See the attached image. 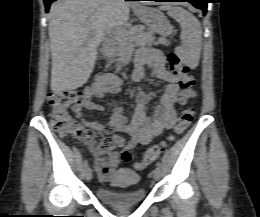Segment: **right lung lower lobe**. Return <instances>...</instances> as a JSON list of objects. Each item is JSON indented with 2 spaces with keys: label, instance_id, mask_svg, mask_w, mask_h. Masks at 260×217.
Instances as JSON below:
<instances>
[{
  "label": "right lung lower lobe",
  "instance_id": "right-lung-lower-lobe-1",
  "mask_svg": "<svg viewBox=\"0 0 260 217\" xmlns=\"http://www.w3.org/2000/svg\"><path fill=\"white\" fill-rule=\"evenodd\" d=\"M54 1L56 0H44L46 6V12H48L50 4ZM125 1H129V0H125Z\"/></svg>",
  "mask_w": 260,
  "mask_h": 217
}]
</instances>
